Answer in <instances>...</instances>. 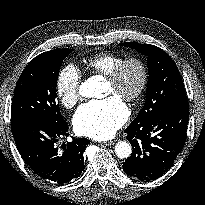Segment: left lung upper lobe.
Segmentation results:
<instances>
[{"instance_id": "5c2ea615", "label": "left lung upper lobe", "mask_w": 205, "mask_h": 205, "mask_svg": "<svg viewBox=\"0 0 205 205\" xmlns=\"http://www.w3.org/2000/svg\"><path fill=\"white\" fill-rule=\"evenodd\" d=\"M121 45L135 49L148 57L149 76L145 105L130 125L145 123L165 108L176 103L187 102L179 70L166 52L150 44L126 42Z\"/></svg>"}]
</instances>
